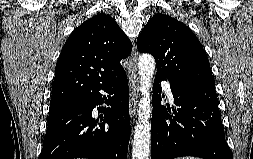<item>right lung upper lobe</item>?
I'll use <instances>...</instances> for the list:
<instances>
[{
	"label": "right lung upper lobe",
	"mask_w": 253,
	"mask_h": 159,
	"mask_svg": "<svg viewBox=\"0 0 253 159\" xmlns=\"http://www.w3.org/2000/svg\"><path fill=\"white\" fill-rule=\"evenodd\" d=\"M132 50L109 14H98L69 36L58 58L50 102L77 100L124 71L120 60Z\"/></svg>",
	"instance_id": "obj_1"
}]
</instances>
